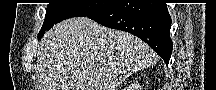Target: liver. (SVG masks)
I'll list each match as a JSON object with an SVG mask.
<instances>
[{
	"label": "liver",
	"mask_w": 216,
	"mask_h": 90,
	"mask_svg": "<svg viewBox=\"0 0 216 90\" xmlns=\"http://www.w3.org/2000/svg\"><path fill=\"white\" fill-rule=\"evenodd\" d=\"M38 52V90H116L153 62L140 38L89 18H71L46 32Z\"/></svg>",
	"instance_id": "6515ba94"
}]
</instances>
